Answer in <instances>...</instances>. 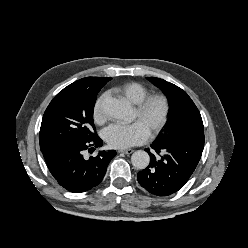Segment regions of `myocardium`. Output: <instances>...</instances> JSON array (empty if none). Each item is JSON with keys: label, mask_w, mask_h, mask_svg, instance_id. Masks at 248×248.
<instances>
[{"label": "myocardium", "mask_w": 248, "mask_h": 248, "mask_svg": "<svg viewBox=\"0 0 248 248\" xmlns=\"http://www.w3.org/2000/svg\"><path fill=\"white\" fill-rule=\"evenodd\" d=\"M158 102L161 105V112L155 122L149 127V133L157 134L166 124L170 114V102L166 95L161 93L148 94L139 103L136 104V111L139 117H144L151 105Z\"/></svg>", "instance_id": "myocardium-1"}]
</instances>
